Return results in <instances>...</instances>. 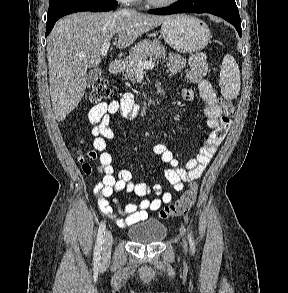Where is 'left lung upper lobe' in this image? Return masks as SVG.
Segmentation results:
<instances>
[{
  "label": "left lung upper lobe",
  "mask_w": 288,
  "mask_h": 293,
  "mask_svg": "<svg viewBox=\"0 0 288 293\" xmlns=\"http://www.w3.org/2000/svg\"><path fill=\"white\" fill-rule=\"evenodd\" d=\"M188 1L196 2V3H202L205 1H218L221 3L227 4V5H230V6H234V7L236 6L235 0H188Z\"/></svg>",
  "instance_id": "obj_1"
}]
</instances>
